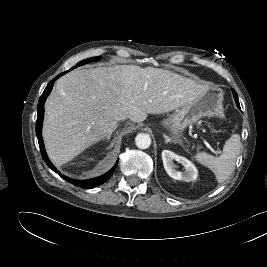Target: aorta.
<instances>
[{
	"label": "aorta",
	"instance_id": "762f6f07",
	"mask_svg": "<svg viewBox=\"0 0 267 267\" xmlns=\"http://www.w3.org/2000/svg\"><path fill=\"white\" fill-rule=\"evenodd\" d=\"M136 146L140 149H147L151 145V138L146 133H139L135 138Z\"/></svg>",
	"mask_w": 267,
	"mask_h": 267
}]
</instances>
